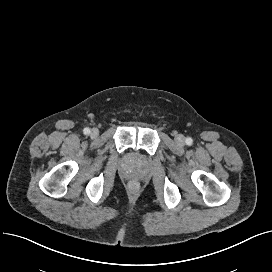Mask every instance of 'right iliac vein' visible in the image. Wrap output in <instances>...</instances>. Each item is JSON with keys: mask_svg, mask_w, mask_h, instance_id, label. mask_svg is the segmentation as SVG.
<instances>
[{"mask_svg": "<svg viewBox=\"0 0 272 272\" xmlns=\"http://www.w3.org/2000/svg\"><path fill=\"white\" fill-rule=\"evenodd\" d=\"M90 134H91L92 137H97L98 134H99V131H98V129L94 128V129L91 130Z\"/></svg>", "mask_w": 272, "mask_h": 272, "instance_id": "63e3f726", "label": "right iliac vein"}]
</instances>
